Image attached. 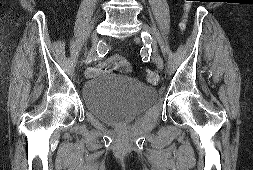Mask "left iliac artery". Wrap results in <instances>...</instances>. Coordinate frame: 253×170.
I'll return each instance as SVG.
<instances>
[{"label": "left iliac artery", "mask_w": 253, "mask_h": 170, "mask_svg": "<svg viewBox=\"0 0 253 170\" xmlns=\"http://www.w3.org/2000/svg\"><path fill=\"white\" fill-rule=\"evenodd\" d=\"M141 37H142V41L146 44V45H151L152 43V37L150 34H148L147 32H143L141 33Z\"/></svg>", "instance_id": "obj_1"}]
</instances>
